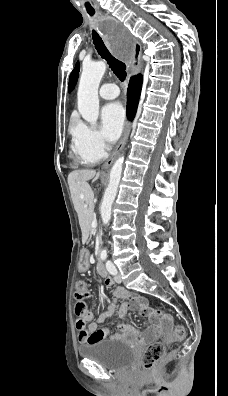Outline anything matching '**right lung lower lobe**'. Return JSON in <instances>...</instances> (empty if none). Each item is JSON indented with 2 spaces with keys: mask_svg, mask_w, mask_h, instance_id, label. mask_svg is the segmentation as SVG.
<instances>
[{
  "mask_svg": "<svg viewBox=\"0 0 228 396\" xmlns=\"http://www.w3.org/2000/svg\"><path fill=\"white\" fill-rule=\"evenodd\" d=\"M142 77L137 75L131 78L127 92V116L133 119L141 92Z\"/></svg>",
  "mask_w": 228,
  "mask_h": 396,
  "instance_id": "right-lung-lower-lobe-1",
  "label": "right lung lower lobe"
}]
</instances>
